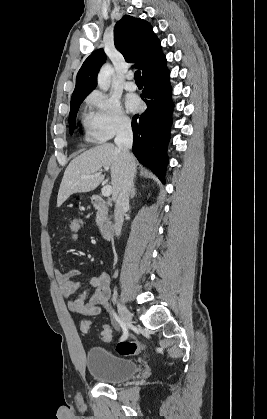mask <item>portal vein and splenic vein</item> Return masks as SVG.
Masks as SVG:
<instances>
[{"instance_id":"portal-vein-and-splenic-vein-1","label":"portal vein and splenic vein","mask_w":267,"mask_h":419,"mask_svg":"<svg viewBox=\"0 0 267 419\" xmlns=\"http://www.w3.org/2000/svg\"><path fill=\"white\" fill-rule=\"evenodd\" d=\"M105 170H108V168H105ZM101 173H102V171L96 173L95 175H84L83 177L84 178H92V177H95V176H99ZM101 192H102V196L109 197L111 195V193H112V186L105 185L102 188Z\"/></svg>"}]
</instances>
